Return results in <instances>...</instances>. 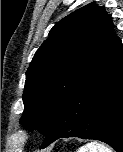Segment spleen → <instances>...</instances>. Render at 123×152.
I'll use <instances>...</instances> for the list:
<instances>
[{"label": "spleen", "instance_id": "1", "mask_svg": "<svg viewBox=\"0 0 123 152\" xmlns=\"http://www.w3.org/2000/svg\"><path fill=\"white\" fill-rule=\"evenodd\" d=\"M77 152H113L101 143L90 142L80 147Z\"/></svg>", "mask_w": 123, "mask_h": 152}]
</instances>
